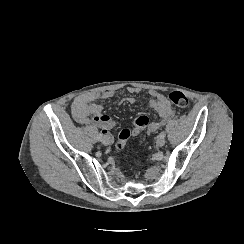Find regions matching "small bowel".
Instances as JSON below:
<instances>
[{"mask_svg": "<svg viewBox=\"0 0 244 244\" xmlns=\"http://www.w3.org/2000/svg\"><path fill=\"white\" fill-rule=\"evenodd\" d=\"M131 93L138 92L137 89L130 88ZM149 95V106L159 114L158 120H150L149 126L146 128L148 133H154L162 128L169 120L175 116V110L171 106L167 97L155 90L150 89L147 91ZM114 96V91L96 92L86 95H81L75 98L71 105V114L74 120L79 124H95L102 129L103 134H110L114 127L113 119L103 113L102 106L97 103V100L109 99ZM129 103H134L135 98L128 97Z\"/></svg>", "mask_w": 244, "mask_h": 244, "instance_id": "small-bowel-1", "label": "small bowel"}]
</instances>
